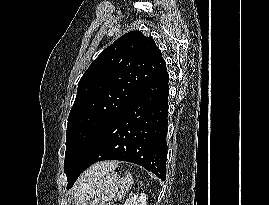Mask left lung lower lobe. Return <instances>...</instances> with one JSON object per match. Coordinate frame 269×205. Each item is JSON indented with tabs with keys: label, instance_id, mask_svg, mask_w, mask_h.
I'll use <instances>...</instances> for the list:
<instances>
[{
	"label": "left lung lower lobe",
	"instance_id": "0a47b994",
	"mask_svg": "<svg viewBox=\"0 0 269 205\" xmlns=\"http://www.w3.org/2000/svg\"><path fill=\"white\" fill-rule=\"evenodd\" d=\"M169 76L164 70L102 131L72 174L71 188L92 164L121 160L166 178Z\"/></svg>",
	"mask_w": 269,
	"mask_h": 205
}]
</instances>
